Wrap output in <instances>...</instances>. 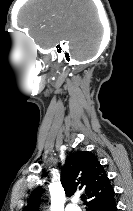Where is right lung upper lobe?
Instances as JSON below:
<instances>
[{
  "label": "right lung upper lobe",
  "mask_w": 133,
  "mask_h": 211,
  "mask_svg": "<svg viewBox=\"0 0 133 211\" xmlns=\"http://www.w3.org/2000/svg\"><path fill=\"white\" fill-rule=\"evenodd\" d=\"M61 184L67 195L83 190L89 202L88 210L114 200V190L103 166L97 157L88 151H78L69 155L61 170ZM44 190L37 187L30 195L23 211H38Z\"/></svg>",
  "instance_id": "obj_1"
}]
</instances>
